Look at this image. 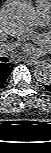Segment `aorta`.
Wrapping results in <instances>:
<instances>
[{"mask_svg":"<svg viewBox=\"0 0 51 153\" xmlns=\"http://www.w3.org/2000/svg\"><path fill=\"white\" fill-rule=\"evenodd\" d=\"M34 8L25 0H16L6 5L1 11L2 28L9 35H23L34 27ZM36 80L43 84L51 83V65L42 62L34 70Z\"/></svg>","mask_w":51,"mask_h":153,"instance_id":"obj_1","label":"aorta"}]
</instances>
